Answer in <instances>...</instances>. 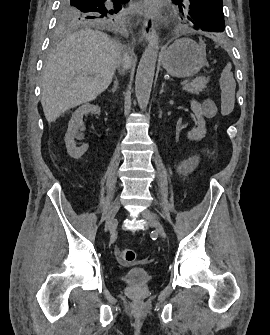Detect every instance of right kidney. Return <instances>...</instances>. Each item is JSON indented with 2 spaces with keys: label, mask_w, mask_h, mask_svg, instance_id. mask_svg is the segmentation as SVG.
<instances>
[{
  "label": "right kidney",
  "mask_w": 270,
  "mask_h": 335,
  "mask_svg": "<svg viewBox=\"0 0 270 335\" xmlns=\"http://www.w3.org/2000/svg\"><path fill=\"white\" fill-rule=\"evenodd\" d=\"M89 112L100 114V108L99 106H93V104H83V106H80L78 110L73 112L72 118L68 124V130L65 134V144L69 156L74 158V160H79V158L85 154L86 150H88V144H83L81 148H77L74 138L81 136L78 130L83 126V116L89 114Z\"/></svg>",
  "instance_id": "ca27d5eb"
}]
</instances>
